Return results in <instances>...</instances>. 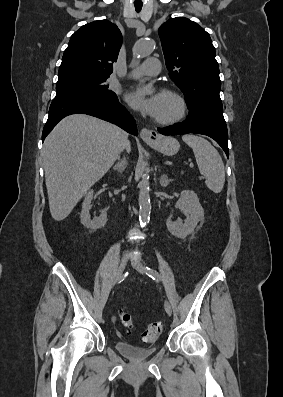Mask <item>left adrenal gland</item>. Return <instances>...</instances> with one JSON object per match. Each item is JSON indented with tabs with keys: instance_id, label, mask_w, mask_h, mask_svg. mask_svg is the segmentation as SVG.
<instances>
[{
	"instance_id": "1",
	"label": "left adrenal gland",
	"mask_w": 283,
	"mask_h": 397,
	"mask_svg": "<svg viewBox=\"0 0 283 397\" xmlns=\"http://www.w3.org/2000/svg\"><path fill=\"white\" fill-rule=\"evenodd\" d=\"M171 181H172V180H171V179H168L167 175L163 174V175H161V178H160V185H161L162 187H167L168 184H169Z\"/></svg>"
}]
</instances>
